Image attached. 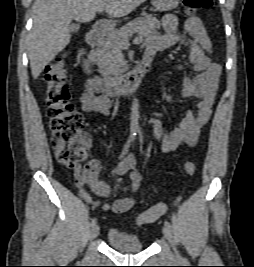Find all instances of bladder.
<instances>
[{
    "instance_id": "31cf9c89",
    "label": "bladder",
    "mask_w": 254,
    "mask_h": 267,
    "mask_svg": "<svg viewBox=\"0 0 254 267\" xmlns=\"http://www.w3.org/2000/svg\"><path fill=\"white\" fill-rule=\"evenodd\" d=\"M107 241L111 247L122 252H139L144 248V243L137 235L117 229L109 230Z\"/></svg>"
}]
</instances>
